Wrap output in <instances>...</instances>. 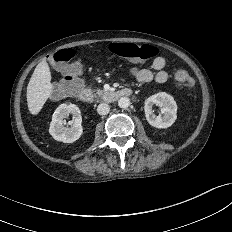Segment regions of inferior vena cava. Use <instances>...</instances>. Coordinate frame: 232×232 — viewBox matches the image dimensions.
<instances>
[{
	"label": "inferior vena cava",
	"mask_w": 232,
	"mask_h": 232,
	"mask_svg": "<svg viewBox=\"0 0 232 232\" xmlns=\"http://www.w3.org/2000/svg\"><path fill=\"white\" fill-rule=\"evenodd\" d=\"M109 111H110V107L106 103H100L97 107V112L100 115H106L109 113Z\"/></svg>",
	"instance_id": "inferior-vena-cava-1"
}]
</instances>
